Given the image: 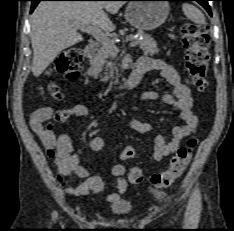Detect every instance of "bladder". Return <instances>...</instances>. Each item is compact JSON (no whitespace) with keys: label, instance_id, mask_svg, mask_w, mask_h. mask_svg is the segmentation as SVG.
I'll return each mask as SVG.
<instances>
[{"label":"bladder","instance_id":"obj_1","mask_svg":"<svg viewBox=\"0 0 234 231\" xmlns=\"http://www.w3.org/2000/svg\"><path fill=\"white\" fill-rule=\"evenodd\" d=\"M134 203L128 199H120L110 206V211L117 215H126L134 210Z\"/></svg>","mask_w":234,"mask_h":231}]
</instances>
